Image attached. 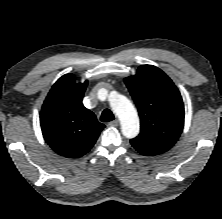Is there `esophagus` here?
Here are the masks:
<instances>
[{
	"label": "esophagus",
	"instance_id": "esophagus-1",
	"mask_svg": "<svg viewBox=\"0 0 222 219\" xmlns=\"http://www.w3.org/2000/svg\"><path fill=\"white\" fill-rule=\"evenodd\" d=\"M118 125H119V121L118 120H114V121H111L109 123V126H111V127H115V126H118Z\"/></svg>",
	"mask_w": 222,
	"mask_h": 219
}]
</instances>
